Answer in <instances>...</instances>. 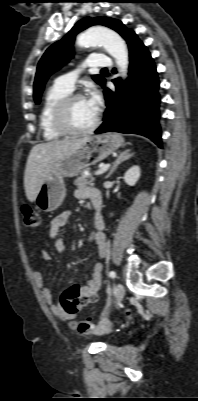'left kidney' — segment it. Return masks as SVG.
Instances as JSON below:
<instances>
[{
  "label": "left kidney",
  "mask_w": 198,
  "mask_h": 401,
  "mask_svg": "<svg viewBox=\"0 0 198 401\" xmlns=\"http://www.w3.org/2000/svg\"><path fill=\"white\" fill-rule=\"evenodd\" d=\"M139 166L131 167L124 175V181L129 186H134L140 178Z\"/></svg>",
  "instance_id": "5707ae66"
}]
</instances>
